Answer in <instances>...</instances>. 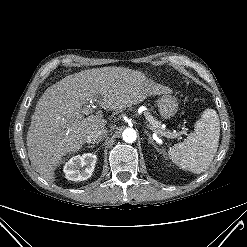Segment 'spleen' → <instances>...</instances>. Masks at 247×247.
Instances as JSON below:
<instances>
[{
    "label": "spleen",
    "instance_id": "3e777b00",
    "mask_svg": "<svg viewBox=\"0 0 247 247\" xmlns=\"http://www.w3.org/2000/svg\"><path fill=\"white\" fill-rule=\"evenodd\" d=\"M220 137V121L213 109H206L195 129L184 142L175 144L169 152L171 159L183 170L195 174L204 172L217 152Z\"/></svg>",
    "mask_w": 247,
    "mask_h": 247
}]
</instances>
